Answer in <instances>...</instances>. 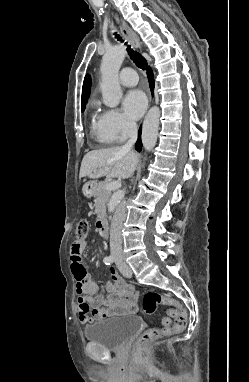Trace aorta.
Listing matches in <instances>:
<instances>
[{"label":"aorta","mask_w":249,"mask_h":382,"mask_svg":"<svg viewBox=\"0 0 249 382\" xmlns=\"http://www.w3.org/2000/svg\"><path fill=\"white\" fill-rule=\"evenodd\" d=\"M125 55V47L123 45H115L109 48L102 58L100 88L104 104L111 108L116 107L122 98L118 73ZM160 113L158 107H152L145 116L141 138L143 147L147 151H151L156 145ZM124 194L123 191H118L113 195L108 205L110 212L115 210L116 206L123 199Z\"/></svg>","instance_id":"1"}]
</instances>
